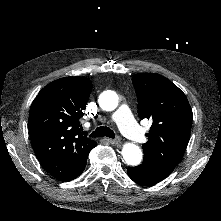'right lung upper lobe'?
<instances>
[{
  "mask_svg": "<svg viewBox=\"0 0 221 221\" xmlns=\"http://www.w3.org/2000/svg\"><path fill=\"white\" fill-rule=\"evenodd\" d=\"M91 90L87 77H64L45 86L31 105L32 147L41 165L60 181L76 172L97 145L79 131Z\"/></svg>",
  "mask_w": 221,
  "mask_h": 221,
  "instance_id": "obj_1",
  "label": "right lung upper lobe"
}]
</instances>
